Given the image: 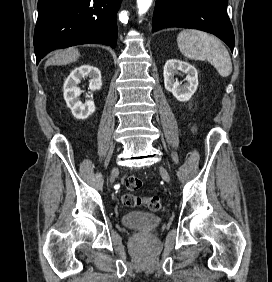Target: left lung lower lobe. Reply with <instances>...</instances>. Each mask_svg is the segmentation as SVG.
Wrapping results in <instances>:
<instances>
[{
  "label": "left lung lower lobe",
  "instance_id": "0a47b994",
  "mask_svg": "<svg viewBox=\"0 0 272 282\" xmlns=\"http://www.w3.org/2000/svg\"><path fill=\"white\" fill-rule=\"evenodd\" d=\"M227 5L228 0H156L152 31L167 27L206 31L222 39L233 52L234 32Z\"/></svg>",
  "mask_w": 272,
  "mask_h": 282
}]
</instances>
